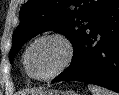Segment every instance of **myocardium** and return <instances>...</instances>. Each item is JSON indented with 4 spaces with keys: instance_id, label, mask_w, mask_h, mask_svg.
<instances>
[{
    "instance_id": "1",
    "label": "myocardium",
    "mask_w": 119,
    "mask_h": 95,
    "mask_svg": "<svg viewBox=\"0 0 119 95\" xmlns=\"http://www.w3.org/2000/svg\"><path fill=\"white\" fill-rule=\"evenodd\" d=\"M45 39H56L59 40L66 49V55L65 58L63 60V62L61 63V65L50 75L48 76H44V77H39L34 75L31 70L29 69V65H28V56L29 53L32 49V47ZM74 56H75V46L73 41L65 34L60 33V32H51V33H46L43 35L38 36L37 38H35L30 44L29 46L26 48L25 53H24V57H23V64H24V69L26 71V73L33 79L38 80V81H49L52 80L54 78H56L58 75H60L62 72H64L73 62L74 60Z\"/></svg>"
}]
</instances>
